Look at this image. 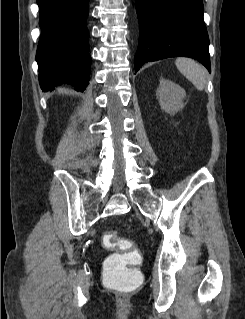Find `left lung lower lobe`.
I'll use <instances>...</instances> for the list:
<instances>
[{
    "mask_svg": "<svg viewBox=\"0 0 245 319\" xmlns=\"http://www.w3.org/2000/svg\"><path fill=\"white\" fill-rule=\"evenodd\" d=\"M139 44L135 70L146 62L174 56L198 60L210 72L209 38L202 0H135Z\"/></svg>",
    "mask_w": 245,
    "mask_h": 319,
    "instance_id": "1",
    "label": "left lung lower lobe"
}]
</instances>
